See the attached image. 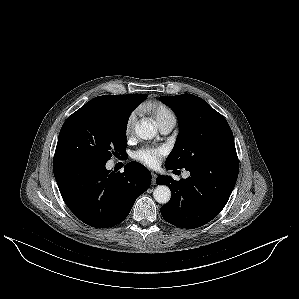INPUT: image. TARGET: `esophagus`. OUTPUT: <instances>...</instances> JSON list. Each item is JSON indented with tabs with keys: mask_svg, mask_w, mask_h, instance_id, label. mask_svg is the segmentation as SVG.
<instances>
[{
	"mask_svg": "<svg viewBox=\"0 0 299 299\" xmlns=\"http://www.w3.org/2000/svg\"><path fill=\"white\" fill-rule=\"evenodd\" d=\"M151 177H152V184L155 185L156 184V178H157V174L152 172L151 173Z\"/></svg>",
	"mask_w": 299,
	"mask_h": 299,
	"instance_id": "esophagus-1",
	"label": "esophagus"
}]
</instances>
